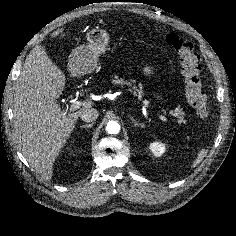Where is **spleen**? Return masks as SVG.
Masks as SVG:
<instances>
[{"mask_svg":"<svg viewBox=\"0 0 236 236\" xmlns=\"http://www.w3.org/2000/svg\"><path fill=\"white\" fill-rule=\"evenodd\" d=\"M207 155V150L206 149H202L199 153H198V157L197 159L194 161L193 167H195L197 164H199L203 158Z\"/></svg>","mask_w":236,"mask_h":236,"instance_id":"3e777b00","label":"spleen"}]
</instances>
